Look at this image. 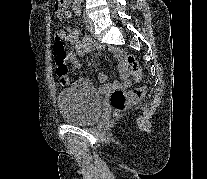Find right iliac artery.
<instances>
[{
	"label": "right iliac artery",
	"instance_id": "82829eb1",
	"mask_svg": "<svg viewBox=\"0 0 207 179\" xmlns=\"http://www.w3.org/2000/svg\"><path fill=\"white\" fill-rule=\"evenodd\" d=\"M73 10L76 15H78V16L81 15V7L80 6H74Z\"/></svg>",
	"mask_w": 207,
	"mask_h": 179
}]
</instances>
